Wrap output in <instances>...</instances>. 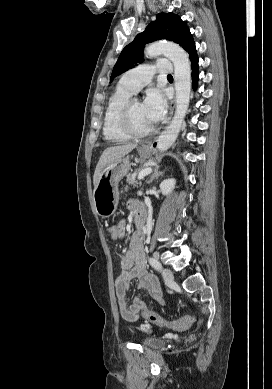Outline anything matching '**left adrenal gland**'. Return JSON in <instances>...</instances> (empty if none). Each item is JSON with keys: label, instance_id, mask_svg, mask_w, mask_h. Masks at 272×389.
Returning <instances> with one entry per match:
<instances>
[{"label": "left adrenal gland", "instance_id": "1", "mask_svg": "<svg viewBox=\"0 0 272 389\" xmlns=\"http://www.w3.org/2000/svg\"><path fill=\"white\" fill-rule=\"evenodd\" d=\"M164 175V171H160L159 170V166H156L153 170V173L151 175V178L150 180L147 182L148 184L152 183V181L155 179V178H158L159 176H163Z\"/></svg>", "mask_w": 272, "mask_h": 389}]
</instances>
